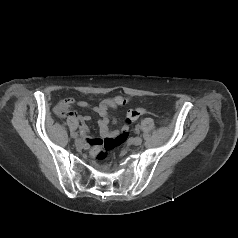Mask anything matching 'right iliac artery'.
Masks as SVG:
<instances>
[{"instance_id": "obj_1", "label": "right iliac artery", "mask_w": 238, "mask_h": 238, "mask_svg": "<svg viewBox=\"0 0 238 238\" xmlns=\"http://www.w3.org/2000/svg\"><path fill=\"white\" fill-rule=\"evenodd\" d=\"M74 137H75V138L78 137V134H75Z\"/></svg>"}]
</instances>
